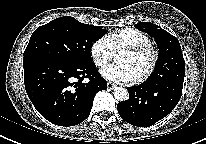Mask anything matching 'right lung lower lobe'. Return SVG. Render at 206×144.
I'll return each mask as SVG.
<instances>
[{"instance_id":"right-lung-lower-lobe-1","label":"right lung lower lobe","mask_w":206,"mask_h":144,"mask_svg":"<svg viewBox=\"0 0 206 144\" xmlns=\"http://www.w3.org/2000/svg\"><path fill=\"white\" fill-rule=\"evenodd\" d=\"M23 67L28 97L36 110L55 125L80 124L89 116L95 94L107 88L93 62L73 65L33 56L23 59ZM84 78L89 81L84 83Z\"/></svg>"}]
</instances>
